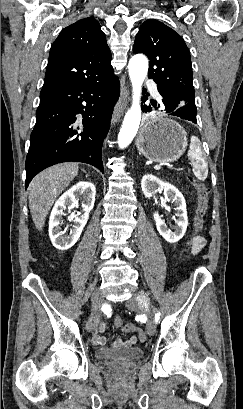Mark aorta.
Returning <instances> with one entry per match:
<instances>
[{"instance_id": "obj_1", "label": "aorta", "mask_w": 243, "mask_h": 409, "mask_svg": "<svg viewBox=\"0 0 243 409\" xmlns=\"http://www.w3.org/2000/svg\"><path fill=\"white\" fill-rule=\"evenodd\" d=\"M130 81L132 84V105L127 111L122 127L118 134V145L126 148L134 139L141 121L140 98L142 84L148 72V60L144 55H134L128 64Z\"/></svg>"}]
</instances>
